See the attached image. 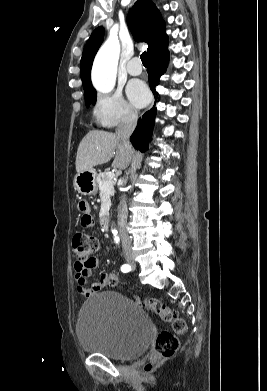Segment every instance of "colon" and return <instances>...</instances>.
Returning <instances> with one entry per match:
<instances>
[{
    "label": "colon",
    "instance_id": "5ec220e1",
    "mask_svg": "<svg viewBox=\"0 0 267 391\" xmlns=\"http://www.w3.org/2000/svg\"><path fill=\"white\" fill-rule=\"evenodd\" d=\"M72 247L76 258V263L80 265H91L94 262V253L98 249V240L95 236L85 232H78L73 236ZM118 280L116 276L109 273L108 284L116 286ZM133 299L142 307L157 315L161 320L171 325L173 332L161 331L155 340L153 354L149 363L145 365V370H150L153 365L161 360L172 357L179 348L177 335L184 333L186 329L185 321L166 304L153 298H142L133 295Z\"/></svg>",
    "mask_w": 267,
    "mask_h": 391
}]
</instances>
